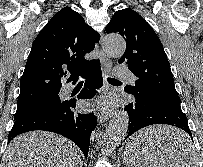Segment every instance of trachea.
<instances>
[{"label":"trachea","mask_w":203,"mask_h":167,"mask_svg":"<svg viewBox=\"0 0 203 167\" xmlns=\"http://www.w3.org/2000/svg\"><path fill=\"white\" fill-rule=\"evenodd\" d=\"M107 80H108V82H116V81H119V80H117V79H114V78H107Z\"/></svg>","instance_id":"1"}]
</instances>
